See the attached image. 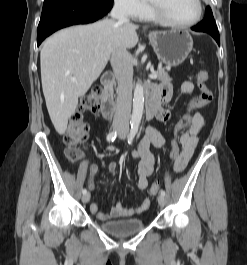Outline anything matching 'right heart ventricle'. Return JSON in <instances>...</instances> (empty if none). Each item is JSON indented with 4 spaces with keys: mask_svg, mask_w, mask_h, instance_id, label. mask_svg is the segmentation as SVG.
Listing matches in <instances>:
<instances>
[{
    "mask_svg": "<svg viewBox=\"0 0 247 265\" xmlns=\"http://www.w3.org/2000/svg\"><path fill=\"white\" fill-rule=\"evenodd\" d=\"M142 20L155 21L154 17L151 15L149 9L147 8L143 15L140 17Z\"/></svg>",
    "mask_w": 247,
    "mask_h": 265,
    "instance_id": "right-heart-ventricle-1",
    "label": "right heart ventricle"
}]
</instances>
